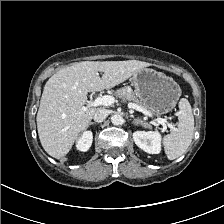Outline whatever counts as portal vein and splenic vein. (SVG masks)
<instances>
[{
  "mask_svg": "<svg viewBox=\"0 0 224 224\" xmlns=\"http://www.w3.org/2000/svg\"><path fill=\"white\" fill-rule=\"evenodd\" d=\"M115 102V98L111 95H104V96H101V97H97L95 100L93 101H89L87 103V106L83 108V110L85 111L87 108H90V107H97V106H101V105H104V106H110L112 105L113 103ZM128 107L129 108H132V109H135L136 111H139V112H142L143 114L145 115H151L149 111H147L146 109L130 102L128 104ZM156 121L163 125L164 126V129L166 128V125L170 126L171 128H173V126L169 125L167 120L166 119H163V118H157Z\"/></svg>",
  "mask_w": 224,
  "mask_h": 224,
  "instance_id": "portal-vein-and-splenic-vein-1",
  "label": "portal vein and splenic vein"
}]
</instances>
